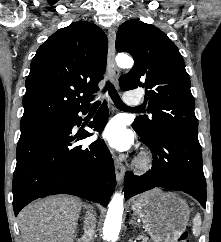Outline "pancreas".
<instances>
[{
  "instance_id": "cf45deb5",
  "label": "pancreas",
  "mask_w": 221,
  "mask_h": 242,
  "mask_svg": "<svg viewBox=\"0 0 221 242\" xmlns=\"http://www.w3.org/2000/svg\"><path fill=\"white\" fill-rule=\"evenodd\" d=\"M142 238H143L142 242H148L147 237H143V236H142Z\"/></svg>"
}]
</instances>
